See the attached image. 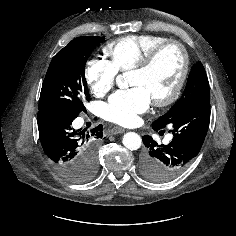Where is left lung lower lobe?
<instances>
[{
  "mask_svg": "<svg viewBox=\"0 0 236 236\" xmlns=\"http://www.w3.org/2000/svg\"><path fill=\"white\" fill-rule=\"evenodd\" d=\"M210 123V99L190 105L168 124L173 139L159 145L151 136H143L146 151L141 157L142 174L155 182H167L181 174L198 155ZM155 131L164 128L153 127Z\"/></svg>",
  "mask_w": 236,
  "mask_h": 236,
  "instance_id": "1",
  "label": "left lung lower lobe"
}]
</instances>
